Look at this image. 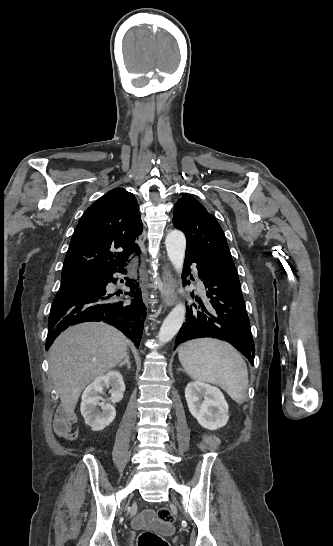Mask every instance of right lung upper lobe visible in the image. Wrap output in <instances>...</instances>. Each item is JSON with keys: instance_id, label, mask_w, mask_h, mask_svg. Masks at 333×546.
<instances>
[{"instance_id": "cb5924a9", "label": "right lung upper lobe", "mask_w": 333, "mask_h": 546, "mask_svg": "<svg viewBox=\"0 0 333 546\" xmlns=\"http://www.w3.org/2000/svg\"><path fill=\"white\" fill-rule=\"evenodd\" d=\"M142 233L135 196L122 188L107 192L80 218L66 253L62 280H77L124 267ZM122 247V252L114 250Z\"/></svg>"}]
</instances>
